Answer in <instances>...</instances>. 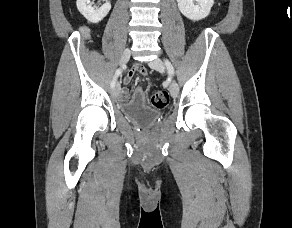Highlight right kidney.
I'll list each match as a JSON object with an SVG mask.
<instances>
[{
  "label": "right kidney",
  "mask_w": 292,
  "mask_h": 228,
  "mask_svg": "<svg viewBox=\"0 0 292 228\" xmlns=\"http://www.w3.org/2000/svg\"><path fill=\"white\" fill-rule=\"evenodd\" d=\"M79 12L90 22L97 24L109 13L111 9L110 2L106 1L100 8L95 9L90 0H77L76 2Z\"/></svg>",
  "instance_id": "right-kidney-1"
}]
</instances>
